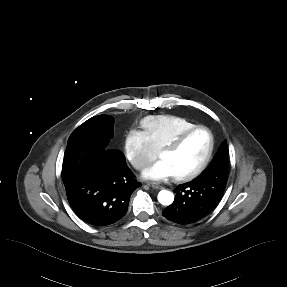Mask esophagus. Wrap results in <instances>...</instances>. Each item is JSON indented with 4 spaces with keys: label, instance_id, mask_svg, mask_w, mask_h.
Wrapping results in <instances>:
<instances>
[{
    "label": "esophagus",
    "instance_id": "34e87169",
    "mask_svg": "<svg viewBox=\"0 0 287 287\" xmlns=\"http://www.w3.org/2000/svg\"><path fill=\"white\" fill-rule=\"evenodd\" d=\"M149 187L153 188V189H162L163 187L160 186V185H156V184H152V183H149L148 184Z\"/></svg>",
    "mask_w": 287,
    "mask_h": 287
}]
</instances>
